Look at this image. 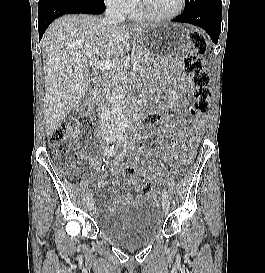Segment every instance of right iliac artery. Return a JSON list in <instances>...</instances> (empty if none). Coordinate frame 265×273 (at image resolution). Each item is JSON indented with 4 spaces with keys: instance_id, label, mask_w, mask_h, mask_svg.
Masks as SVG:
<instances>
[{
    "instance_id": "obj_1",
    "label": "right iliac artery",
    "mask_w": 265,
    "mask_h": 273,
    "mask_svg": "<svg viewBox=\"0 0 265 273\" xmlns=\"http://www.w3.org/2000/svg\"><path fill=\"white\" fill-rule=\"evenodd\" d=\"M123 133H124V126L122 124H120L117 128V143L115 145H112L108 148H106V150L104 151V154L108 157L115 155V153L118 150V147L120 146L121 142L123 141ZM87 199H91L92 198V194L91 193H87L86 195Z\"/></svg>"
}]
</instances>
